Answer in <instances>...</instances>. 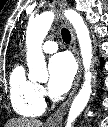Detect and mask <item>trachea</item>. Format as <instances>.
<instances>
[{"mask_svg":"<svg viewBox=\"0 0 108 127\" xmlns=\"http://www.w3.org/2000/svg\"><path fill=\"white\" fill-rule=\"evenodd\" d=\"M61 35L66 44L70 43L71 35H70V32L66 28H62Z\"/></svg>","mask_w":108,"mask_h":127,"instance_id":"obj_1","label":"trachea"}]
</instances>
